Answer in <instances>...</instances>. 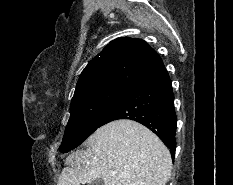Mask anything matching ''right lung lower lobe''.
Returning a JSON list of instances; mask_svg holds the SVG:
<instances>
[{
  "mask_svg": "<svg viewBox=\"0 0 233 185\" xmlns=\"http://www.w3.org/2000/svg\"><path fill=\"white\" fill-rule=\"evenodd\" d=\"M117 119H131L145 125L170 149L174 159L177 117L171 81L165 69L130 90L99 127Z\"/></svg>",
  "mask_w": 233,
  "mask_h": 185,
  "instance_id": "1",
  "label": "right lung lower lobe"
}]
</instances>
